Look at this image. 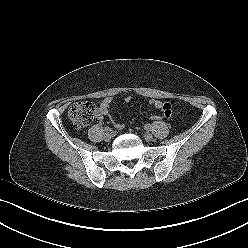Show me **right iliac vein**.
Segmentation results:
<instances>
[{
	"label": "right iliac vein",
	"mask_w": 248,
	"mask_h": 248,
	"mask_svg": "<svg viewBox=\"0 0 248 248\" xmlns=\"http://www.w3.org/2000/svg\"><path fill=\"white\" fill-rule=\"evenodd\" d=\"M113 138V134L110 132H106L104 135L105 141H110Z\"/></svg>",
	"instance_id": "obj_1"
}]
</instances>
